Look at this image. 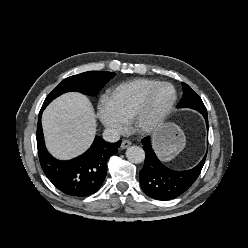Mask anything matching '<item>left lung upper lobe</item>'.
Here are the masks:
<instances>
[{"label":"left lung upper lobe","instance_id":"1","mask_svg":"<svg viewBox=\"0 0 248 248\" xmlns=\"http://www.w3.org/2000/svg\"><path fill=\"white\" fill-rule=\"evenodd\" d=\"M183 86V97L177 105L178 108H192L197 111L206 110L205 105L203 104L201 98L191 89V87L185 83H182Z\"/></svg>","mask_w":248,"mask_h":248}]
</instances>
